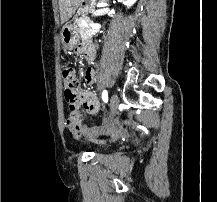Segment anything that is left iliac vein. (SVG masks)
<instances>
[{"mask_svg": "<svg viewBox=\"0 0 217 202\" xmlns=\"http://www.w3.org/2000/svg\"><path fill=\"white\" fill-rule=\"evenodd\" d=\"M118 107H119V97L117 96V94H113L110 98V109H111V117H114L118 111ZM111 119L110 118L107 121V126H109L111 124ZM94 136V135H93Z\"/></svg>", "mask_w": 217, "mask_h": 202, "instance_id": "obj_1", "label": "left iliac vein"}]
</instances>
